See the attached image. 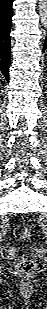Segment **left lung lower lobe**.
Returning <instances> with one entry per match:
<instances>
[{
	"mask_svg": "<svg viewBox=\"0 0 47 309\" xmlns=\"http://www.w3.org/2000/svg\"><path fill=\"white\" fill-rule=\"evenodd\" d=\"M47 49V38L45 40L44 46H43V51Z\"/></svg>",
	"mask_w": 47,
	"mask_h": 309,
	"instance_id": "obj_1",
	"label": "left lung lower lobe"
}]
</instances>
